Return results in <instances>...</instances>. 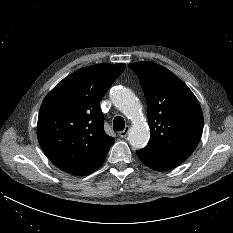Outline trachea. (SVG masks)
I'll list each match as a JSON object with an SVG mask.
<instances>
[{
    "label": "trachea",
    "instance_id": "3493384b",
    "mask_svg": "<svg viewBox=\"0 0 233 233\" xmlns=\"http://www.w3.org/2000/svg\"><path fill=\"white\" fill-rule=\"evenodd\" d=\"M125 128V121L121 116H116L113 121V130L122 131Z\"/></svg>",
    "mask_w": 233,
    "mask_h": 233
}]
</instances>
